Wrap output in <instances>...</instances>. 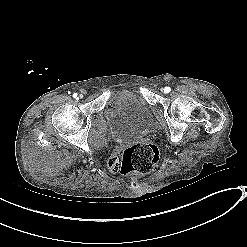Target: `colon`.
I'll list each match as a JSON object with an SVG mask.
<instances>
[{
	"mask_svg": "<svg viewBox=\"0 0 247 247\" xmlns=\"http://www.w3.org/2000/svg\"><path fill=\"white\" fill-rule=\"evenodd\" d=\"M159 161V150L151 143H142L127 148L122 152L118 173L126 174L131 171L148 172Z\"/></svg>",
	"mask_w": 247,
	"mask_h": 247,
	"instance_id": "1",
	"label": "colon"
}]
</instances>
